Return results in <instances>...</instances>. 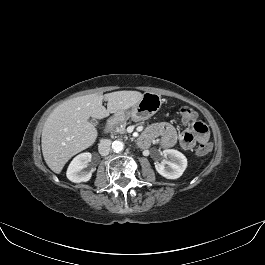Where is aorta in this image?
<instances>
[{
    "mask_svg": "<svg viewBox=\"0 0 265 265\" xmlns=\"http://www.w3.org/2000/svg\"><path fill=\"white\" fill-rule=\"evenodd\" d=\"M112 149L114 152L119 153L124 149V144L121 141H114L112 143Z\"/></svg>",
    "mask_w": 265,
    "mask_h": 265,
    "instance_id": "1",
    "label": "aorta"
}]
</instances>
